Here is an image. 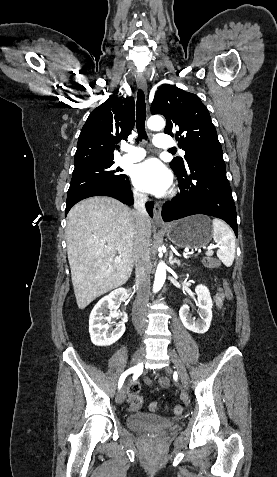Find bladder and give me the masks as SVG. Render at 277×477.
<instances>
[{
  "label": "bladder",
  "instance_id": "31cf9c89",
  "mask_svg": "<svg viewBox=\"0 0 277 477\" xmlns=\"http://www.w3.org/2000/svg\"><path fill=\"white\" fill-rule=\"evenodd\" d=\"M127 425L136 431H161L171 428L174 422L170 419L142 412H135L128 415Z\"/></svg>",
  "mask_w": 277,
  "mask_h": 477
}]
</instances>
